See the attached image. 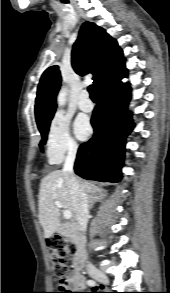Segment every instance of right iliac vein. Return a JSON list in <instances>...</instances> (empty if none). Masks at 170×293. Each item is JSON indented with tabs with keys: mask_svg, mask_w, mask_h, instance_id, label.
I'll return each mask as SVG.
<instances>
[{
	"mask_svg": "<svg viewBox=\"0 0 170 293\" xmlns=\"http://www.w3.org/2000/svg\"><path fill=\"white\" fill-rule=\"evenodd\" d=\"M90 275L96 279L97 281L104 283V284H108L109 280L108 277L105 273H103L102 271L98 270V269H92L90 272Z\"/></svg>",
	"mask_w": 170,
	"mask_h": 293,
	"instance_id": "1",
	"label": "right iliac vein"
}]
</instances>
